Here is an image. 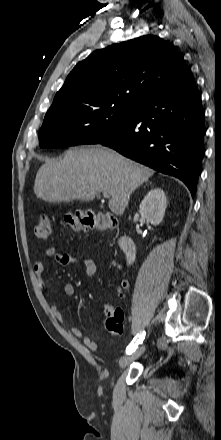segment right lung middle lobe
Returning a JSON list of instances; mask_svg holds the SVG:
<instances>
[{"label":"right lung middle lobe","mask_w":221,"mask_h":440,"mask_svg":"<svg viewBox=\"0 0 221 440\" xmlns=\"http://www.w3.org/2000/svg\"><path fill=\"white\" fill-rule=\"evenodd\" d=\"M134 107L117 103L75 104L47 111L39 131L45 148L97 144L111 136L130 117Z\"/></svg>","instance_id":"1"}]
</instances>
